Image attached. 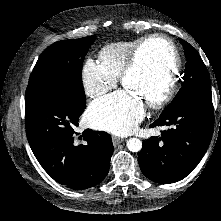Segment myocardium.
<instances>
[{"instance_id":"1","label":"myocardium","mask_w":221,"mask_h":221,"mask_svg":"<svg viewBox=\"0 0 221 221\" xmlns=\"http://www.w3.org/2000/svg\"><path fill=\"white\" fill-rule=\"evenodd\" d=\"M157 40L163 41L168 45L174 64L165 90L162 93L156 95L152 101L145 104L150 109H159L163 107L171 99L177 88V82L180 76L182 62L174 41L170 37L163 34H153L143 37L131 50L128 61L120 75V83L125 88V83L129 74L137 65L140 52L147 44Z\"/></svg>"}]
</instances>
